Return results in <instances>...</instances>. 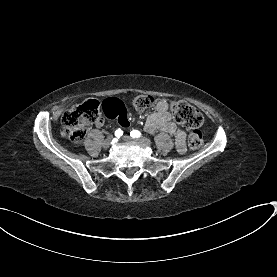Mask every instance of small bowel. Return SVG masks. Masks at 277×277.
Returning <instances> with one entry per match:
<instances>
[{
    "label": "small bowel",
    "instance_id": "1",
    "mask_svg": "<svg viewBox=\"0 0 277 277\" xmlns=\"http://www.w3.org/2000/svg\"><path fill=\"white\" fill-rule=\"evenodd\" d=\"M103 124V120L96 122L97 127H101ZM144 129L149 133L159 130L171 134L175 139L178 151L181 153L185 151V131L172 120V114L166 100L160 99L156 102L154 111L146 118Z\"/></svg>",
    "mask_w": 277,
    "mask_h": 277
}]
</instances>
